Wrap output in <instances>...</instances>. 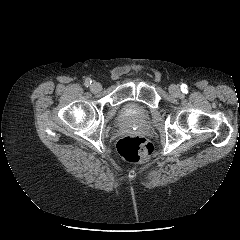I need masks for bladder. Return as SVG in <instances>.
<instances>
[{"label": "bladder", "mask_w": 240, "mask_h": 240, "mask_svg": "<svg viewBox=\"0 0 240 240\" xmlns=\"http://www.w3.org/2000/svg\"><path fill=\"white\" fill-rule=\"evenodd\" d=\"M145 118V112L135 106H128L121 112L122 121H142Z\"/></svg>", "instance_id": "obj_1"}]
</instances>
